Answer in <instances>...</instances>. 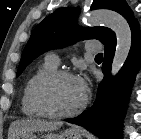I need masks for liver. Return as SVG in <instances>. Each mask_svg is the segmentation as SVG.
Instances as JSON below:
<instances>
[{
	"instance_id": "liver-1",
	"label": "liver",
	"mask_w": 141,
	"mask_h": 139,
	"mask_svg": "<svg viewBox=\"0 0 141 139\" xmlns=\"http://www.w3.org/2000/svg\"><path fill=\"white\" fill-rule=\"evenodd\" d=\"M63 122H52L41 119L14 121L9 128V139H20L29 133L57 130Z\"/></svg>"
}]
</instances>
